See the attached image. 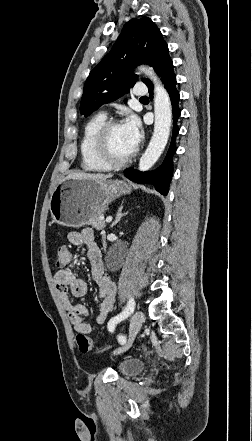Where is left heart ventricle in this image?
<instances>
[{"label": "left heart ventricle", "instance_id": "obj_1", "mask_svg": "<svg viewBox=\"0 0 252 441\" xmlns=\"http://www.w3.org/2000/svg\"><path fill=\"white\" fill-rule=\"evenodd\" d=\"M107 148L114 160H121L132 153L122 125L114 127L107 137Z\"/></svg>", "mask_w": 252, "mask_h": 441}]
</instances>
